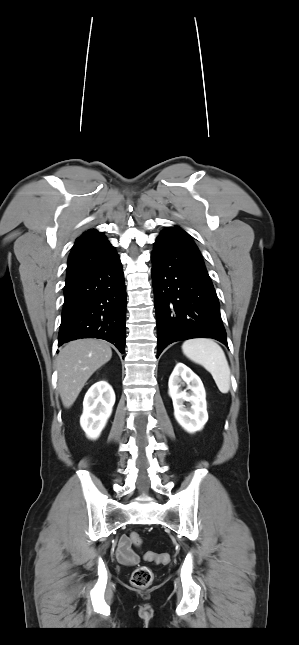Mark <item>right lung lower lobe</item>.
I'll list each match as a JSON object with an SVG mask.
<instances>
[{"label":"right lung lower lobe","instance_id":"1","mask_svg":"<svg viewBox=\"0 0 299 645\" xmlns=\"http://www.w3.org/2000/svg\"><path fill=\"white\" fill-rule=\"evenodd\" d=\"M64 296L58 346L98 338L124 353L126 290L117 254L67 279Z\"/></svg>","mask_w":299,"mask_h":645}]
</instances>
